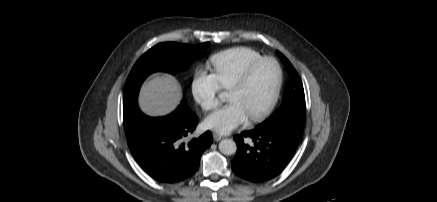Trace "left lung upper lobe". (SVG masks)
Masks as SVG:
<instances>
[{"label": "left lung upper lobe", "instance_id": "5c2ea615", "mask_svg": "<svg viewBox=\"0 0 437 202\" xmlns=\"http://www.w3.org/2000/svg\"><path fill=\"white\" fill-rule=\"evenodd\" d=\"M276 53L286 65L289 82L281 107L256 127H284L300 135L306 110L303 85L298 73L289 60L279 51H276Z\"/></svg>", "mask_w": 437, "mask_h": 202}]
</instances>
